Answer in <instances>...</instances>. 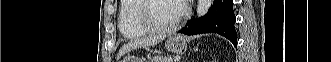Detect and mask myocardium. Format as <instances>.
<instances>
[{"label":"myocardium","mask_w":331,"mask_h":62,"mask_svg":"<svg viewBox=\"0 0 331 62\" xmlns=\"http://www.w3.org/2000/svg\"><path fill=\"white\" fill-rule=\"evenodd\" d=\"M153 0H139V5L137 9V14H136V20L137 23L145 29L147 32L150 33H165V32H170L174 29H176L184 16V12H181L177 19L172 22L171 24L168 25H158L156 24L148 15V9L150 6V3Z\"/></svg>","instance_id":"obj_1"}]
</instances>
